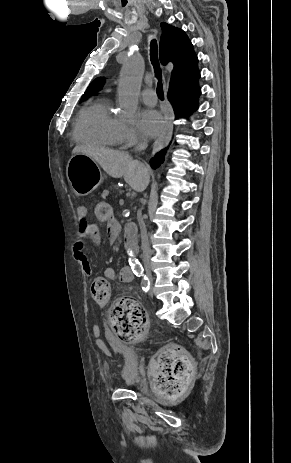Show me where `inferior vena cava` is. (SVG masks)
<instances>
[{
  "instance_id": "obj_1",
  "label": "inferior vena cava",
  "mask_w": 291,
  "mask_h": 463,
  "mask_svg": "<svg viewBox=\"0 0 291 463\" xmlns=\"http://www.w3.org/2000/svg\"><path fill=\"white\" fill-rule=\"evenodd\" d=\"M148 142L144 140L135 148L136 150H144L147 148ZM140 230H141V239H142V250H143V257L144 259H148L150 257V246L147 236L146 226L143 220L140 221ZM147 275L150 276V272L147 271Z\"/></svg>"
}]
</instances>
